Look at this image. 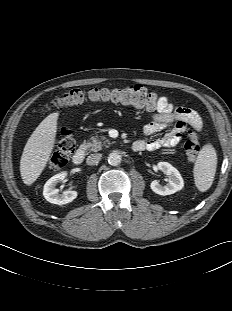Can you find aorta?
Here are the masks:
<instances>
[{
  "instance_id": "aorta-1",
  "label": "aorta",
  "mask_w": 232,
  "mask_h": 311,
  "mask_svg": "<svg viewBox=\"0 0 232 311\" xmlns=\"http://www.w3.org/2000/svg\"><path fill=\"white\" fill-rule=\"evenodd\" d=\"M121 155H119L118 153L112 152L109 154L108 156V163L112 166H117L121 163Z\"/></svg>"
}]
</instances>
